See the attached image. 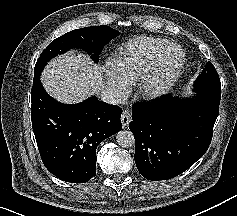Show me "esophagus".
<instances>
[{
  "label": "esophagus",
  "instance_id": "obj_1",
  "mask_svg": "<svg viewBox=\"0 0 237 216\" xmlns=\"http://www.w3.org/2000/svg\"><path fill=\"white\" fill-rule=\"evenodd\" d=\"M131 119H132V115H131L130 111L128 109H125L121 115V123L124 128H126L128 126Z\"/></svg>",
  "mask_w": 237,
  "mask_h": 216
}]
</instances>
